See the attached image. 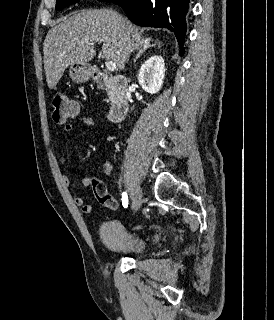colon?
Returning a JSON list of instances; mask_svg holds the SVG:
<instances>
[{
    "label": "colon",
    "mask_w": 274,
    "mask_h": 320,
    "mask_svg": "<svg viewBox=\"0 0 274 320\" xmlns=\"http://www.w3.org/2000/svg\"><path fill=\"white\" fill-rule=\"evenodd\" d=\"M52 119L55 123L71 127L79 116L78 105L70 100L64 91L55 93L52 97ZM91 181L94 179L92 176L89 178ZM91 188L95 193L100 194V201L104 207L113 211L119 209L118 202L107 193L105 182H92Z\"/></svg>",
    "instance_id": "colon-1"
}]
</instances>
